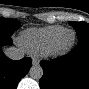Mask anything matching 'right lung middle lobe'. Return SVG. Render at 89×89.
Returning a JSON list of instances; mask_svg holds the SVG:
<instances>
[{
    "mask_svg": "<svg viewBox=\"0 0 89 89\" xmlns=\"http://www.w3.org/2000/svg\"><path fill=\"white\" fill-rule=\"evenodd\" d=\"M20 26L17 20L0 18V37L11 36Z\"/></svg>",
    "mask_w": 89,
    "mask_h": 89,
    "instance_id": "obj_1",
    "label": "right lung middle lobe"
}]
</instances>
